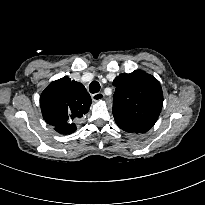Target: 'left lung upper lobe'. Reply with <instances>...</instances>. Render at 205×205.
Instances as JSON below:
<instances>
[{
	"label": "left lung upper lobe",
	"mask_w": 205,
	"mask_h": 205,
	"mask_svg": "<svg viewBox=\"0 0 205 205\" xmlns=\"http://www.w3.org/2000/svg\"><path fill=\"white\" fill-rule=\"evenodd\" d=\"M113 85V116L116 124L130 133H146L158 119L163 105L158 80L144 71L135 70L117 76Z\"/></svg>",
	"instance_id": "obj_1"
}]
</instances>
